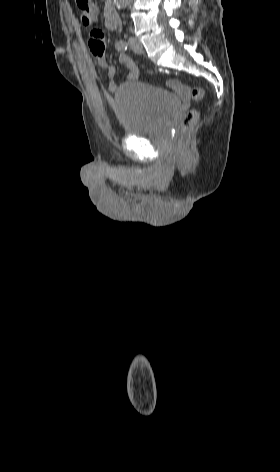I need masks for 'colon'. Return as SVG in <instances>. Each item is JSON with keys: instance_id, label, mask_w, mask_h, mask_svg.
Masks as SVG:
<instances>
[{"instance_id": "1", "label": "colon", "mask_w": 280, "mask_h": 472, "mask_svg": "<svg viewBox=\"0 0 280 472\" xmlns=\"http://www.w3.org/2000/svg\"><path fill=\"white\" fill-rule=\"evenodd\" d=\"M77 7L80 12V18L84 25H90L96 18L97 10L91 0H76ZM191 96L194 100L200 101L205 96V90L200 86H195L191 89ZM199 118L197 110H190L185 114L180 123V135L182 138L188 136L193 126Z\"/></svg>"}]
</instances>
